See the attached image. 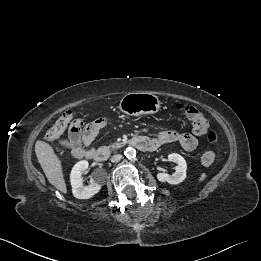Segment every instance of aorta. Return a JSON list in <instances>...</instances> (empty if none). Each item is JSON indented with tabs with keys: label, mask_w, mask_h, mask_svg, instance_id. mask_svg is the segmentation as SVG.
Masks as SVG:
<instances>
[{
	"label": "aorta",
	"mask_w": 261,
	"mask_h": 261,
	"mask_svg": "<svg viewBox=\"0 0 261 261\" xmlns=\"http://www.w3.org/2000/svg\"><path fill=\"white\" fill-rule=\"evenodd\" d=\"M124 155L128 159H132L136 156V150L133 147H127L124 151Z\"/></svg>",
	"instance_id": "1"
}]
</instances>
